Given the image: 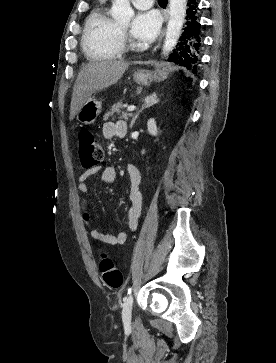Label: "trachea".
Returning <instances> with one entry per match:
<instances>
[{"instance_id": "3493384b", "label": "trachea", "mask_w": 276, "mask_h": 363, "mask_svg": "<svg viewBox=\"0 0 276 363\" xmlns=\"http://www.w3.org/2000/svg\"><path fill=\"white\" fill-rule=\"evenodd\" d=\"M158 2L162 5H166L167 4V0H158Z\"/></svg>"}]
</instances>
